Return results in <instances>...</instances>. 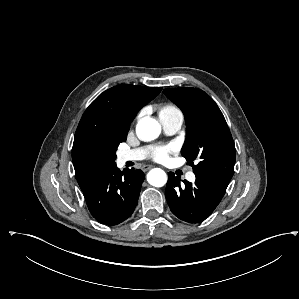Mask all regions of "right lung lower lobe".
<instances>
[{
	"mask_svg": "<svg viewBox=\"0 0 299 299\" xmlns=\"http://www.w3.org/2000/svg\"><path fill=\"white\" fill-rule=\"evenodd\" d=\"M143 180L144 173L140 169L121 172L115 164L81 190L91 215L102 224L116 225L133 213Z\"/></svg>",
	"mask_w": 299,
	"mask_h": 299,
	"instance_id": "right-lung-lower-lobe-1",
	"label": "right lung lower lobe"
}]
</instances>
